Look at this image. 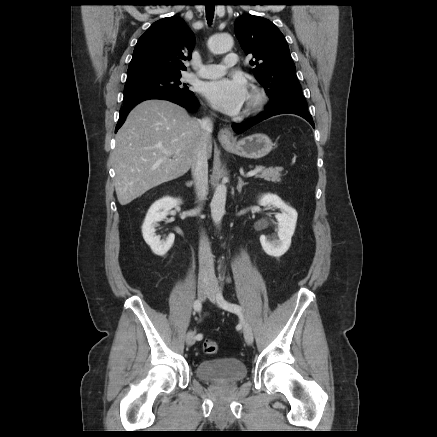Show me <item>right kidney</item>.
Here are the masks:
<instances>
[{
	"mask_svg": "<svg viewBox=\"0 0 437 437\" xmlns=\"http://www.w3.org/2000/svg\"><path fill=\"white\" fill-rule=\"evenodd\" d=\"M182 203L180 199L172 197H163L157 200L149 208L144 223L142 225V234L145 242L150 246L152 252L158 256H164L172 247L175 239L174 234H170L166 240H160L156 236L155 227L159 221H162L168 215V212Z\"/></svg>",
	"mask_w": 437,
	"mask_h": 437,
	"instance_id": "1",
	"label": "right kidney"
}]
</instances>
